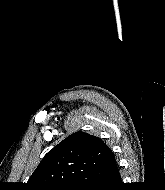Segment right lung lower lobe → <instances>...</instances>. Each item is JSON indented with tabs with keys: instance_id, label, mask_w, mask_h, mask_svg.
I'll list each match as a JSON object with an SVG mask.
<instances>
[{
	"instance_id": "right-lung-lower-lobe-1",
	"label": "right lung lower lobe",
	"mask_w": 165,
	"mask_h": 190,
	"mask_svg": "<svg viewBox=\"0 0 165 190\" xmlns=\"http://www.w3.org/2000/svg\"><path fill=\"white\" fill-rule=\"evenodd\" d=\"M123 183L115 158L96 167L81 180L80 190H122Z\"/></svg>"
}]
</instances>
